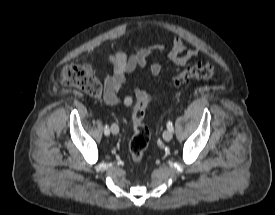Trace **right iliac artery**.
<instances>
[{"mask_svg": "<svg viewBox=\"0 0 275 215\" xmlns=\"http://www.w3.org/2000/svg\"><path fill=\"white\" fill-rule=\"evenodd\" d=\"M104 133H105V135H109L110 134V129H109V126L108 125H105V127H104Z\"/></svg>", "mask_w": 275, "mask_h": 215, "instance_id": "right-iliac-artery-1", "label": "right iliac artery"}]
</instances>
